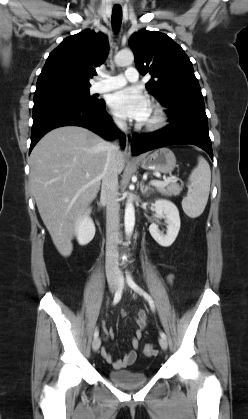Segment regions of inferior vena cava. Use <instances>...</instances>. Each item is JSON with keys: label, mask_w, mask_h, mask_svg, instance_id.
Masks as SVG:
<instances>
[{"label": "inferior vena cava", "mask_w": 248, "mask_h": 419, "mask_svg": "<svg viewBox=\"0 0 248 419\" xmlns=\"http://www.w3.org/2000/svg\"><path fill=\"white\" fill-rule=\"evenodd\" d=\"M117 127L125 132L127 124L123 120H114ZM120 152L117 141L107 145V158L102 173L101 200L106 205V272L108 276H118L119 243V201H118V171L116 156Z\"/></svg>", "instance_id": "obj_1"}]
</instances>
